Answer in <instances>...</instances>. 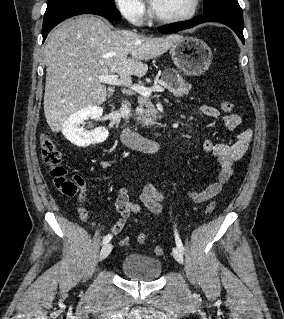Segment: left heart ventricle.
I'll return each mask as SVG.
<instances>
[{
	"label": "left heart ventricle",
	"instance_id": "b2bd125f",
	"mask_svg": "<svg viewBox=\"0 0 284 319\" xmlns=\"http://www.w3.org/2000/svg\"><path fill=\"white\" fill-rule=\"evenodd\" d=\"M193 0H153L154 10L166 17L181 16L189 12Z\"/></svg>",
	"mask_w": 284,
	"mask_h": 319
}]
</instances>
